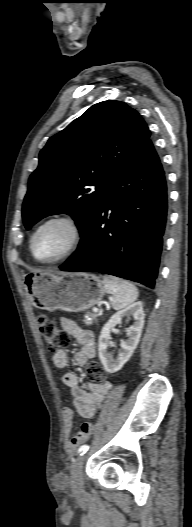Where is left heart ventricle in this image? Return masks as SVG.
<instances>
[{
    "instance_id": "b2bd125f",
    "label": "left heart ventricle",
    "mask_w": 192,
    "mask_h": 527,
    "mask_svg": "<svg viewBox=\"0 0 192 527\" xmlns=\"http://www.w3.org/2000/svg\"><path fill=\"white\" fill-rule=\"evenodd\" d=\"M70 227L61 221L52 222L40 230L35 239V252L41 259H50L63 252L71 240Z\"/></svg>"
}]
</instances>
